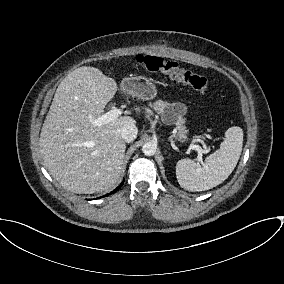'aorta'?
Wrapping results in <instances>:
<instances>
[{"label":"aorta","mask_w":284,"mask_h":284,"mask_svg":"<svg viewBox=\"0 0 284 284\" xmlns=\"http://www.w3.org/2000/svg\"><path fill=\"white\" fill-rule=\"evenodd\" d=\"M142 151L146 156H152L157 151V145L153 142H146L142 147Z\"/></svg>","instance_id":"aorta-1"}]
</instances>
